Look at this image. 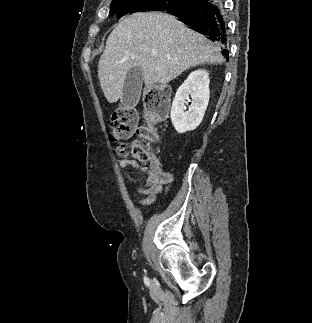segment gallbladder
<instances>
[{"label":"gallbladder","mask_w":312,"mask_h":323,"mask_svg":"<svg viewBox=\"0 0 312 323\" xmlns=\"http://www.w3.org/2000/svg\"><path fill=\"white\" fill-rule=\"evenodd\" d=\"M144 74L142 68H131L125 78L121 102L123 106H136L139 102Z\"/></svg>","instance_id":"bac80fb5"}]
</instances>
